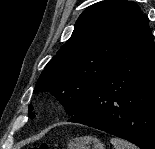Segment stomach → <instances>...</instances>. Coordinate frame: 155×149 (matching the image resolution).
Segmentation results:
<instances>
[{"instance_id":"obj_1","label":"stomach","mask_w":155,"mask_h":149,"mask_svg":"<svg viewBox=\"0 0 155 149\" xmlns=\"http://www.w3.org/2000/svg\"><path fill=\"white\" fill-rule=\"evenodd\" d=\"M67 149H105L104 145L95 137L83 136L72 139Z\"/></svg>"}]
</instances>
